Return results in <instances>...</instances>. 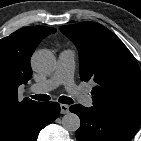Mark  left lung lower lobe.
<instances>
[{
  "label": "left lung lower lobe",
  "mask_w": 141,
  "mask_h": 141,
  "mask_svg": "<svg viewBox=\"0 0 141 141\" xmlns=\"http://www.w3.org/2000/svg\"><path fill=\"white\" fill-rule=\"evenodd\" d=\"M81 126L76 131L77 141H130L137 132L140 122L103 111L94 106L85 108L72 105Z\"/></svg>",
  "instance_id": "0a47b994"
}]
</instances>
